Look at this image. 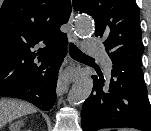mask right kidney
Listing matches in <instances>:
<instances>
[{"label": "right kidney", "instance_id": "obj_1", "mask_svg": "<svg viewBox=\"0 0 151 131\" xmlns=\"http://www.w3.org/2000/svg\"><path fill=\"white\" fill-rule=\"evenodd\" d=\"M12 130H13V131H19L18 122H17L15 125H13Z\"/></svg>", "mask_w": 151, "mask_h": 131}]
</instances>
